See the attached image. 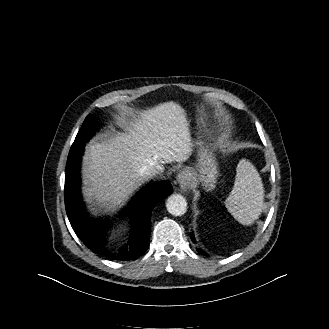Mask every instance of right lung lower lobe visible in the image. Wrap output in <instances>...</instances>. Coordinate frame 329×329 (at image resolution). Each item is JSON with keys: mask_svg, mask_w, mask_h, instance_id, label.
I'll return each instance as SVG.
<instances>
[{"mask_svg": "<svg viewBox=\"0 0 329 329\" xmlns=\"http://www.w3.org/2000/svg\"><path fill=\"white\" fill-rule=\"evenodd\" d=\"M82 153L83 148L73 158L67 159L65 170V208L73 230L86 247L96 254L113 260L137 258L149 246L151 212L159 201L173 192L171 184L168 181L150 184L135 196L129 211L133 220L129 247L117 254L110 253L105 249L106 224L89 218L81 198L79 166Z\"/></svg>", "mask_w": 329, "mask_h": 329, "instance_id": "1", "label": "right lung lower lobe"}]
</instances>
